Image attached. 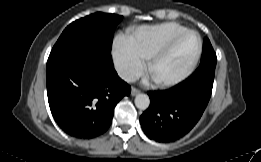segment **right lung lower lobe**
Listing matches in <instances>:
<instances>
[{
    "instance_id": "1",
    "label": "right lung lower lobe",
    "mask_w": 261,
    "mask_h": 162,
    "mask_svg": "<svg viewBox=\"0 0 261 162\" xmlns=\"http://www.w3.org/2000/svg\"><path fill=\"white\" fill-rule=\"evenodd\" d=\"M110 49L80 43L52 49L47 61L51 113L63 131L89 139L111 125L114 107L131 92L114 70Z\"/></svg>"
}]
</instances>
